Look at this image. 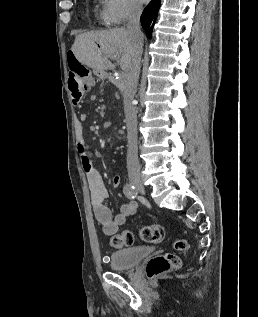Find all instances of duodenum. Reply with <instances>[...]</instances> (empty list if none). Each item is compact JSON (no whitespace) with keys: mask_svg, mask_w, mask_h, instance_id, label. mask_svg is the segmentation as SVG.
I'll use <instances>...</instances> for the list:
<instances>
[{"mask_svg":"<svg viewBox=\"0 0 258 317\" xmlns=\"http://www.w3.org/2000/svg\"><path fill=\"white\" fill-rule=\"evenodd\" d=\"M67 86L73 103H80L86 93V88L80 77L73 72H69L67 77Z\"/></svg>","mask_w":258,"mask_h":317,"instance_id":"duodenum-1","label":"duodenum"}]
</instances>
